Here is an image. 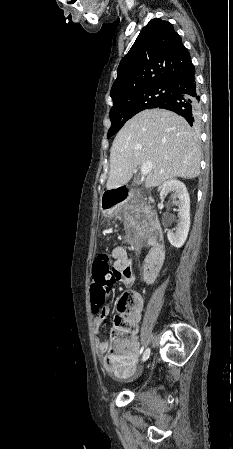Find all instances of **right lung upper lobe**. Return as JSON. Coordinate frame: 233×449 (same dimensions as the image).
Masks as SVG:
<instances>
[{
  "mask_svg": "<svg viewBox=\"0 0 233 449\" xmlns=\"http://www.w3.org/2000/svg\"><path fill=\"white\" fill-rule=\"evenodd\" d=\"M188 50L173 25L152 19L121 60L110 96L115 98L156 84L172 81L194 72Z\"/></svg>",
  "mask_w": 233,
  "mask_h": 449,
  "instance_id": "obj_1",
  "label": "right lung upper lobe"
}]
</instances>
